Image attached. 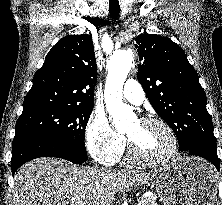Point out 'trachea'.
I'll return each mask as SVG.
<instances>
[{
  "label": "trachea",
  "instance_id": "obj_1",
  "mask_svg": "<svg viewBox=\"0 0 222 205\" xmlns=\"http://www.w3.org/2000/svg\"><path fill=\"white\" fill-rule=\"evenodd\" d=\"M109 13L113 18H117L120 13V7L119 6H109Z\"/></svg>",
  "mask_w": 222,
  "mask_h": 205
}]
</instances>
